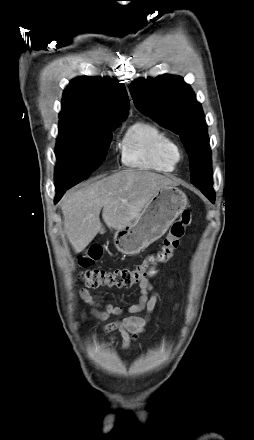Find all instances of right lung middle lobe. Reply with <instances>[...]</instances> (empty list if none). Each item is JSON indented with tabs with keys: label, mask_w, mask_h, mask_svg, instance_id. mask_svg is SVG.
Returning <instances> with one entry per match:
<instances>
[{
	"label": "right lung middle lobe",
	"mask_w": 254,
	"mask_h": 440,
	"mask_svg": "<svg viewBox=\"0 0 254 440\" xmlns=\"http://www.w3.org/2000/svg\"><path fill=\"white\" fill-rule=\"evenodd\" d=\"M122 121L103 125L60 121L55 150V186L72 187L98 169L106 158L111 131L119 127Z\"/></svg>",
	"instance_id": "dd1d6c3e"
}]
</instances>
